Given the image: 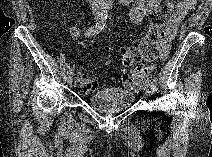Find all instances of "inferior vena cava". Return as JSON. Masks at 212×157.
<instances>
[{
	"label": "inferior vena cava",
	"instance_id": "obj_1",
	"mask_svg": "<svg viewBox=\"0 0 212 157\" xmlns=\"http://www.w3.org/2000/svg\"><path fill=\"white\" fill-rule=\"evenodd\" d=\"M97 3H98L97 0H90V4H91L93 10L98 7Z\"/></svg>",
	"mask_w": 212,
	"mask_h": 157
}]
</instances>
